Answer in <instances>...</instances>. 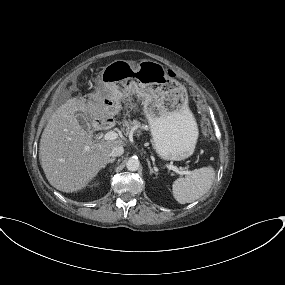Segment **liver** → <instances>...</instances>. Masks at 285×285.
Listing matches in <instances>:
<instances>
[{
    "label": "liver",
    "instance_id": "liver-1",
    "mask_svg": "<svg viewBox=\"0 0 285 285\" xmlns=\"http://www.w3.org/2000/svg\"><path fill=\"white\" fill-rule=\"evenodd\" d=\"M101 75V73H100ZM84 97H71L50 117L40 140L39 158L48 182L65 193L85 189L105 168L116 146L122 140H106L94 143L91 134L83 128L76 113L88 115L95 127L104 118V99L110 96L122 99L117 91H109L101 78L96 80L95 90Z\"/></svg>",
    "mask_w": 285,
    "mask_h": 285
}]
</instances>
